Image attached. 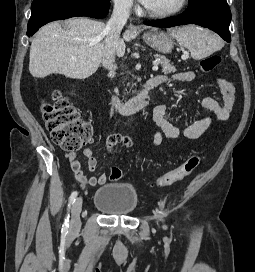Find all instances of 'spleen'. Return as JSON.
Returning a JSON list of instances; mask_svg holds the SVG:
<instances>
[{"label": "spleen", "instance_id": "obj_1", "mask_svg": "<svg viewBox=\"0 0 255 272\" xmlns=\"http://www.w3.org/2000/svg\"><path fill=\"white\" fill-rule=\"evenodd\" d=\"M169 32L180 46L190 51L191 57L196 60L205 58L224 46L218 36L208 29L195 25L173 28Z\"/></svg>", "mask_w": 255, "mask_h": 272}]
</instances>
